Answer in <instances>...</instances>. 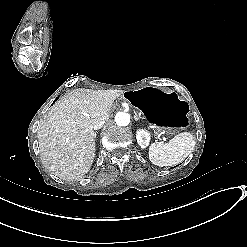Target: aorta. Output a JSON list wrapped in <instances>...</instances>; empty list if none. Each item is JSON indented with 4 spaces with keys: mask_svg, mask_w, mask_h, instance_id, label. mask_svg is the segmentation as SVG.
<instances>
[{
    "mask_svg": "<svg viewBox=\"0 0 247 247\" xmlns=\"http://www.w3.org/2000/svg\"><path fill=\"white\" fill-rule=\"evenodd\" d=\"M115 122L118 126H127L130 123V115L126 112H118L115 115Z\"/></svg>",
    "mask_w": 247,
    "mask_h": 247,
    "instance_id": "aorta-1",
    "label": "aorta"
}]
</instances>
